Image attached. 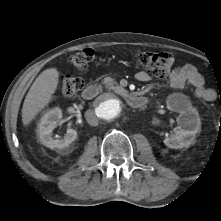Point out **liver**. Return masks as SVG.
Masks as SVG:
<instances>
[{
	"mask_svg": "<svg viewBox=\"0 0 221 221\" xmlns=\"http://www.w3.org/2000/svg\"><path fill=\"white\" fill-rule=\"evenodd\" d=\"M59 82V72L49 68L41 72L31 85L22 107V122L27 126L49 104Z\"/></svg>",
	"mask_w": 221,
	"mask_h": 221,
	"instance_id": "6515ba94",
	"label": "liver"
}]
</instances>
